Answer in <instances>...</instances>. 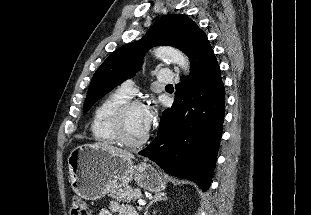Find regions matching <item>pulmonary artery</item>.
<instances>
[{
    "instance_id": "1",
    "label": "pulmonary artery",
    "mask_w": 311,
    "mask_h": 215,
    "mask_svg": "<svg viewBox=\"0 0 311 215\" xmlns=\"http://www.w3.org/2000/svg\"><path fill=\"white\" fill-rule=\"evenodd\" d=\"M157 80L161 83H171L173 81V74L169 69H161L157 73ZM118 90L128 97H132L136 88L133 81L126 80L120 85Z\"/></svg>"
}]
</instances>
